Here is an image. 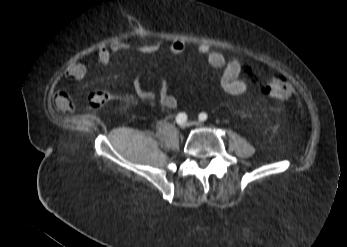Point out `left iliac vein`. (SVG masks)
Returning a JSON list of instances; mask_svg holds the SVG:
<instances>
[{
    "label": "left iliac vein",
    "instance_id": "1",
    "mask_svg": "<svg viewBox=\"0 0 347 247\" xmlns=\"http://www.w3.org/2000/svg\"><path fill=\"white\" fill-rule=\"evenodd\" d=\"M190 125L201 126V122H199V121H194V122H191Z\"/></svg>",
    "mask_w": 347,
    "mask_h": 247
}]
</instances>
